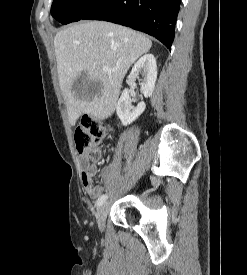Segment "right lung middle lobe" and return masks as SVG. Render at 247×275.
Wrapping results in <instances>:
<instances>
[{"mask_svg":"<svg viewBox=\"0 0 247 275\" xmlns=\"http://www.w3.org/2000/svg\"><path fill=\"white\" fill-rule=\"evenodd\" d=\"M102 0H53L52 16L62 24L76 22Z\"/></svg>","mask_w":247,"mask_h":275,"instance_id":"dd1d6c3e","label":"right lung middle lobe"}]
</instances>
